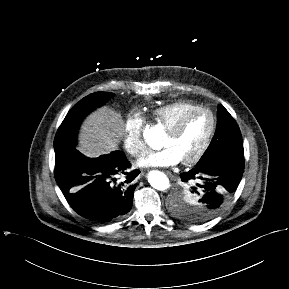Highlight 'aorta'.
<instances>
[{
	"label": "aorta",
	"instance_id": "obj_1",
	"mask_svg": "<svg viewBox=\"0 0 289 289\" xmlns=\"http://www.w3.org/2000/svg\"><path fill=\"white\" fill-rule=\"evenodd\" d=\"M144 139L146 143L154 149L161 146V135L157 127L146 129L144 131ZM148 182L153 188L159 191H165L170 186L168 177L160 171H151L148 174Z\"/></svg>",
	"mask_w": 289,
	"mask_h": 289
}]
</instances>
